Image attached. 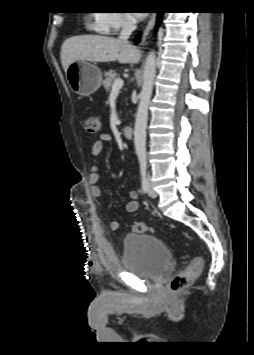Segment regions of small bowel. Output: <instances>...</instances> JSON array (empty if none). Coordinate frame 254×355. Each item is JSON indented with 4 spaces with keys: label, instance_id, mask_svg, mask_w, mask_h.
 I'll return each instance as SVG.
<instances>
[{
    "label": "small bowel",
    "instance_id": "small-bowel-1",
    "mask_svg": "<svg viewBox=\"0 0 254 355\" xmlns=\"http://www.w3.org/2000/svg\"><path fill=\"white\" fill-rule=\"evenodd\" d=\"M111 141V136L107 133H102L98 136L96 141L93 143L91 147V155L93 164L89 173V184H90V192L92 196L96 198H100L102 196L101 188L97 185L99 180V173L97 167V158L103 152L104 146L106 143ZM129 201L126 203V211L129 213H133L139 208V194L135 190L129 191ZM110 228L114 231L120 229V222L116 220H112L110 222Z\"/></svg>",
    "mask_w": 254,
    "mask_h": 355
}]
</instances>
